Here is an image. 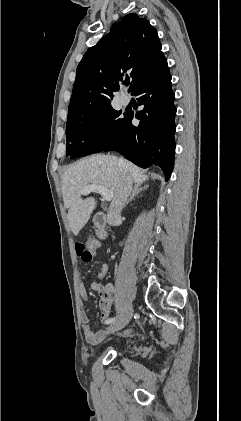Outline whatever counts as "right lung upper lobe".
I'll list each match as a JSON object with an SVG mask.
<instances>
[{
	"instance_id": "1",
	"label": "right lung upper lobe",
	"mask_w": 241,
	"mask_h": 421,
	"mask_svg": "<svg viewBox=\"0 0 241 421\" xmlns=\"http://www.w3.org/2000/svg\"><path fill=\"white\" fill-rule=\"evenodd\" d=\"M163 57L157 31L149 21L135 13L126 15L79 63L67 123L111 107L113 92L125 75L132 78L133 92Z\"/></svg>"
}]
</instances>
